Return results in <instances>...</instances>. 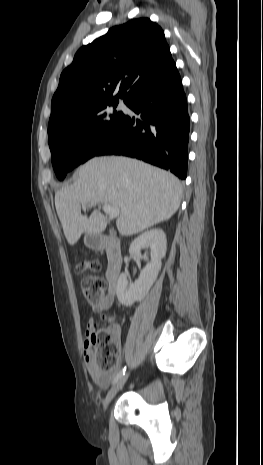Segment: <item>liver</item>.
Masks as SVG:
<instances>
[{"label": "liver", "instance_id": "obj_1", "mask_svg": "<svg viewBox=\"0 0 263 465\" xmlns=\"http://www.w3.org/2000/svg\"><path fill=\"white\" fill-rule=\"evenodd\" d=\"M78 179L55 194V207L70 245L83 233L101 234L105 216L95 207L118 206L116 226L122 236L140 233L170 219L178 210L183 188L173 174L142 161L119 156L96 157L77 170ZM94 208L88 217L81 205Z\"/></svg>", "mask_w": 263, "mask_h": 465}]
</instances>
